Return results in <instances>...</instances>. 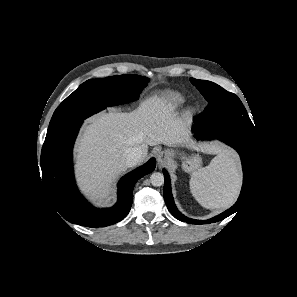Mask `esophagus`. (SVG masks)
<instances>
[{
	"label": "esophagus",
	"instance_id": "obj_1",
	"mask_svg": "<svg viewBox=\"0 0 297 297\" xmlns=\"http://www.w3.org/2000/svg\"><path fill=\"white\" fill-rule=\"evenodd\" d=\"M171 157V152L169 150H164L158 153L157 160L160 163H165Z\"/></svg>",
	"mask_w": 297,
	"mask_h": 297
}]
</instances>
